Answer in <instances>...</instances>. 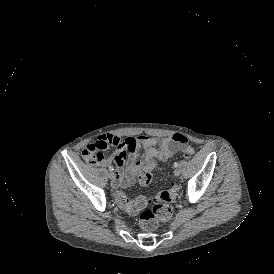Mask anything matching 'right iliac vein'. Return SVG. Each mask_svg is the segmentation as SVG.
<instances>
[{"label":"right iliac vein","mask_w":274,"mask_h":274,"mask_svg":"<svg viewBox=\"0 0 274 274\" xmlns=\"http://www.w3.org/2000/svg\"><path fill=\"white\" fill-rule=\"evenodd\" d=\"M108 176H109L112 184L115 185V183H116V176H115V174L113 172H110Z\"/></svg>","instance_id":"1"}]
</instances>
